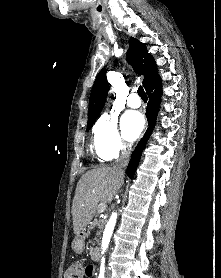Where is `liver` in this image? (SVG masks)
<instances>
[{
    "label": "liver",
    "mask_w": 221,
    "mask_h": 278,
    "mask_svg": "<svg viewBox=\"0 0 221 278\" xmlns=\"http://www.w3.org/2000/svg\"><path fill=\"white\" fill-rule=\"evenodd\" d=\"M124 182L114 167L102 166L82 175L72 203L73 230L78 235L92 220L99 202L110 203Z\"/></svg>",
    "instance_id": "6515ba94"
}]
</instances>
